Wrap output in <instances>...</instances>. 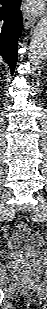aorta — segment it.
I'll list each match as a JSON object with an SVG mask.
<instances>
[{
    "mask_svg": "<svg viewBox=\"0 0 47 309\" xmlns=\"http://www.w3.org/2000/svg\"><path fill=\"white\" fill-rule=\"evenodd\" d=\"M47 54V22L41 20L34 28L28 48V59L32 66H38Z\"/></svg>",
    "mask_w": 47,
    "mask_h": 309,
    "instance_id": "762f6f07",
    "label": "aorta"
}]
</instances>
